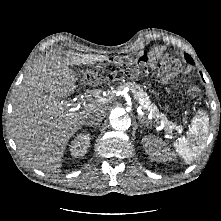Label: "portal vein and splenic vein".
Wrapping results in <instances>:
<instances>
[{
  "mask_svg": "<svg viewBox=\"0 0 221 221\" xmlns=\"http://www.w3.org/2000/svg\"><path fill=\"white\" fill-rule=\"evenodd\" d=\"M80 105H81V103H78L77 106H76V109H79ZM141 109H142V105L138 108V112L140 114L142 113ZM153 117H154L153 114L149 113V118H153ZM165 124H170V122H168L167 120L166 121H163V120L160 121V125H161L162 128H164ZM170 128L174 129V130H176L178 132H181L183 130L180 126H177L175 124H170Z\"/></svg>",
  "mask_w": 221,
  "mask_h": 221,
  "instance_id": "1",
  "label": "portal vein and splenic vein"
}]
</instances>
